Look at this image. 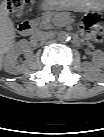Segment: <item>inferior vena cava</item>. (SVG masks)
I'll return each instance as SVG.
<instances>
[{
    "label": "inferior vena cava",
    "mask_w": 104,
    "mask_h": 137,
    "mask_svg": "<svg viewBox=\"0 0 104 137\" xmlns=\"http://www.w3.org/2000/svg\"><path fill=\"white\" fill-rule=\"evenodd\" d=\"M46 37H47L46 32L37 30L32 34L31 39L33 42H38L44 40Z\"/></svg>",
    "instance_id": "obj_1"
}]
</instances>
